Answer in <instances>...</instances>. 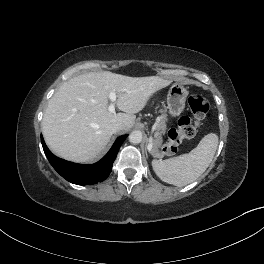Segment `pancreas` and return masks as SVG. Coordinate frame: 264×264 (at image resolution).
Segmentation results:
<instances>
[{
  "mask_svg": "<svg viewBox=\"0 0 264 264\" xmlns=\"http://www.w3.org/2000/svg\"><path fill=\"white\" fill-rule=\"evenodd\" d=\"M161 115L158 118V124L157 129L160 132H156L155 139L153 140V148H152V154L156 157H162L163 155L160 153L159 148L162 144V137L161 134L165 132L166 129V121H167V114L164 110H161Z\"/></svg>",
  "mask_w": 264,
  "mask_h": 264,
  "instance_id": "obj_1",
  "label": "pancreas"
}]
</instances>
